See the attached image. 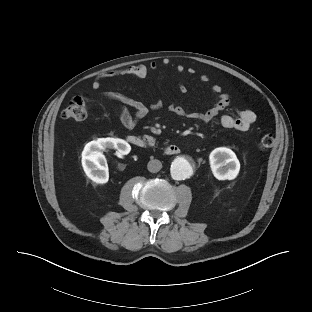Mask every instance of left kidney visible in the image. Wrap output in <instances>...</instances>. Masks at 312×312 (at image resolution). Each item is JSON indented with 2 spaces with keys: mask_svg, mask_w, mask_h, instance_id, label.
I'll list each match as a JSON object with an SVG mask.
<instances>
[{
  "mask_svg": "<svg viewBox=\"0 0 312 312\" xmlns=\"http://www.w3.org/2000/svg\"><path fill=\"white\" fill-rule=\"evenodd\" d=\"M209 162L212 173L218 180H233L240 170L236 154L226 147L214 149L209 155Z\"/></svg>",
  "mask_w": 312,
  "mask_h": 312,
  "instance_id": "obj_1",
  "label": "left kidney"
}]
</instances>
